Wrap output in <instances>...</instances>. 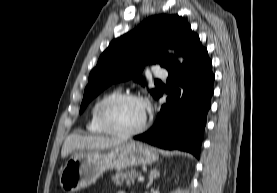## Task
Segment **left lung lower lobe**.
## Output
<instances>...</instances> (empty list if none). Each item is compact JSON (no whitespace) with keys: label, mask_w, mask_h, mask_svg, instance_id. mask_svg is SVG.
I'll return each instance as SVG.
<instances>
[{"label":"left lung lower lobe","mask_w":277,"mask_h":193,"mask_svg":"<svg viewBox=\"0 0 277 193\" xmlns=\"http://www.w3.org/2000/svg\"><path fill=\"white\" fill-rule=\"evenodd\" d=\"M211 66L207 49L196 35L185 50L184 63H177L168 69V97L153 127L134 136V139L164 149L188 151L199 158L213 95L214 75Z\"/></svg>","instance_id":"obj_1"}]
</instances>
